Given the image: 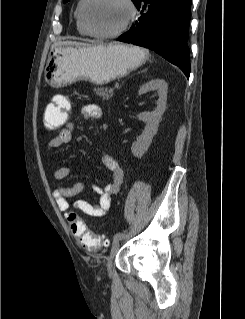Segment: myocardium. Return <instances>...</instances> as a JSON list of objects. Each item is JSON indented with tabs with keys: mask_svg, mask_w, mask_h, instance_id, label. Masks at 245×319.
Instances as JSON below:
<instances>
[{
	"mask_svg": "<svg viewBox=\"0 0 245 319\" xmlns=\"http://www.w3.org/2000/svg\"><path fill=\"white\" fill-rule=\"evenodd\" d=\"M92 0H84L83 5L81 7V21L82 24L86 30V32L98 39H113L116 37H119L120 35H122L124 32H126L131 25L134 23V21L136 20L137 17V7L134 3L133 0H122V2H124L128 8L129 11V16L128 19L126 20V22L117 30L113 31V32H109V33H100V32H96L94 31L91 26L88 23L87 20V8L89 6V4L91 3Z\"/></svg>",
	"mask_w": 245,
	"mask_h": 319,
	"instance_id": "1",
	"label": "myocardium"
}]
</instances>
